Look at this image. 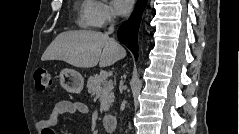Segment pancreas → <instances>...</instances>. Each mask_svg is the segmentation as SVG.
Returning <instances> with one entry per match:
<instances>
[{"instance_id":"1","label":"pancreas","mask_w":239,"mask_h":134,"mask_svg":"<svg viewBox=\"0 0 239 134\" xmlns=\"http://www.w3.org/2000/svg\"><path fill=\"white\" fill-rule=\"evenodd\" d=\"M88 92L100 98V112H106L114 99L113 82L101 81L100 76H91L87 81Z\"/></svg>"}]
</instances>
